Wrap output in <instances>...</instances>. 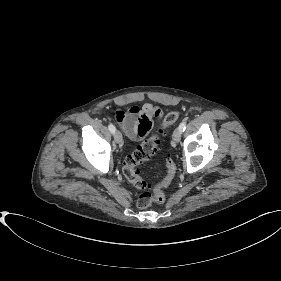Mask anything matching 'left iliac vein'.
Returning a JSON list of instances; mask_svg holds the SVG:
<instances>
[{"label":"left iliac vein","instance_id":"1","mask_svg":"<svg viewBox=\"0 0 281 281\" xmlns=\"http://www.w3.org/2000/svg\"><path fill=\"white\" fill-rule=\"evenodd\" d=\"M181 130L179 128L175 129L173 132V140L178 143L181 139Z\"/></svg>","mask_w":281,"mask_h":281}]
</instances>
